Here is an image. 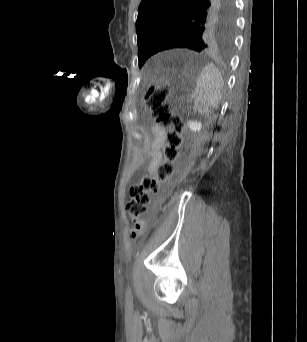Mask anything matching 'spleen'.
<instances>
[{
  "label": "spleen",
  "instance_id": "spleen-1",
  "mask_svg": "<svg viewBox=\"0 0 307 342\" xmlns=\"http://www.w3.org/2000/svg\"><path fill=\"white\" fill-rule=\"evenodd\" d=\"M224 80L214 64H207L196 78L194 104L197 114H216L222 98Z\"/></svg>",
  "mask_w": 307,
  "mask_h": 342
}]
</instances>
